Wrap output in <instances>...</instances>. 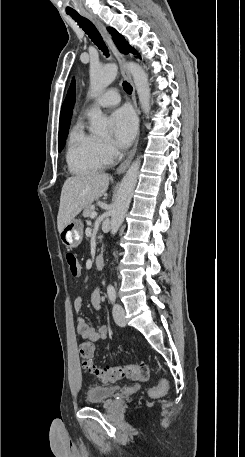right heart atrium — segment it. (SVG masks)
Returning <instances> with one entry per match:
<instances>
[{"mask_svg":"<svg viewBox=\"0 0 245 457\" xmlns=\"http://www.w3.org/2000/svg\"><path fill=\"white\" fill-rule=\"evenodd\" d=\"M99 148H100L101 153L107 159L114 158L117 155V150L111 142L100 141Z\"/></svg>","mask_w":245,"mask_h":457,"instance_id":"1","label":"right heart atrium"}]
</instances>
